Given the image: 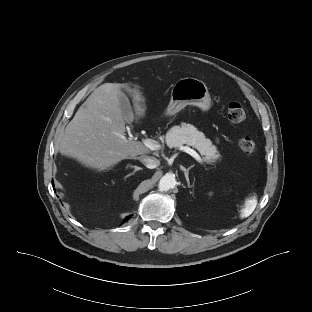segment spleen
<instances>
[{
    "label": "spleen",
    "mask_w": 312,
    "mask_h": 312,
    "mask_svg": "<svg viewBox=\"0 0 312 312\" xmlns=\"http://www.w3.org/2000/svg\"><path fill=\"white\" fill-rule=\"evenodd\" d=\"M257 204L256 199L247 200L244 207L241 210V217H247L249 216L255 209Z\"/></svg>",
    "instance_id": "1"
}]
</instances>
